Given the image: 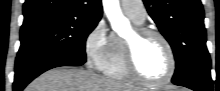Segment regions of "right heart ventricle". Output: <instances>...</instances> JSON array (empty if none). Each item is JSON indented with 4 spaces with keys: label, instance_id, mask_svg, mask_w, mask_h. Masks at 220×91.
Masks as SVG:
<instances>
[{
    "label": "right heart ventricle",
    "instance_id": "1",
    "mask_svg": "<svg viewBox=\"0 0 220 91\" xmlns=\"http://www.w3.org/2000/svg\"><path fill=\"white\" fill-rule=\"evenodd\" d=\"M132 21L140 25L141 23ZM103 73L111 78L118 80H130L131 76L126 69L125 55H124V40L118 36H113L112 54L106 63Z\"/></svg>",
    "mask_w": 220,
    "mask_h": 91
}]
</instances>
